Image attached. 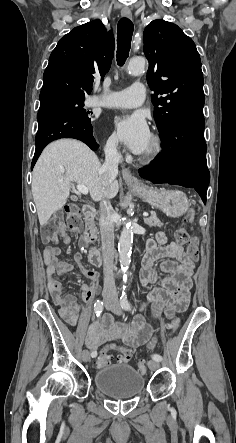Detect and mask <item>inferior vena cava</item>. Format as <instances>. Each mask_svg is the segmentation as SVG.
<instances>
[{
	"label": "inferior vena cava",
	"mask_w": 236,
	"mask_h": 443,
	"mask_svg": "<svg viewBox=\"0 0 236 443\" xmlns=\"http://www.w3.org/2000/svg\"><path fill=\"white\" fill-rule=\"evenodd\" d=\"M118 139L109 138L105 147V162L99 173L105 180V184L112 183L118 174V164L122 161V155L117 150ZM114 210L109 200L100 202V233L102 241L103 271H104V301L107 304H117L118 294L115 286L114 269Z\"/></svg>",
	"instance_id": "inferior-vena-cava-1"
}]
</instances>
